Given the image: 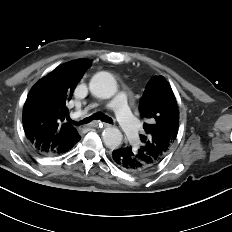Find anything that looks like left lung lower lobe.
Here are the masks:
<instances>
[{
  "label": "left lung lower lobe",
  "instance_id": "obj_1",
  "mask_svg": "<svg viewBox=\"0 0 232 232\" xmlns=\"http://www.w3.org/2000/svg\"><path fill=\"white\" fill-rule=\"evenodd\" d=\"M112 160L120 169L131 173H141L150 169L145 162L137 157L130 146L114 150Z\"/></svg>",
  "mask_w": 232,
  "mask_h": 232
}]
</instances>
